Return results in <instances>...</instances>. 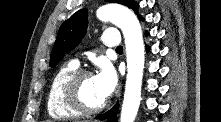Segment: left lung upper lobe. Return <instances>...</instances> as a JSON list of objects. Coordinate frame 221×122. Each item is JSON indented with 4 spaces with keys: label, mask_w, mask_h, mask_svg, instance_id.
<instances>
[{
    "label": "left lung upper lobe",
    "mask_w": 221,
    "mask_h": 122,
    "mask_svg": "<svg viewBox=\"0 0 221 122\" xmlns=\"http://www.w3.org/2000/svg\"><path fill=\"white\" fill-rule=\"evenodd\" d=\"M108 2L119 3L129 8L136 4L134 0H107ZM87 28V9H81L74 13L60 27L58 37L55 41L51 57L50 67H55L57 63L74 49L82 40Z\"/></svg>",
    "instance_id": "left-lung-upper-lobe-1"
}]
</instances>
